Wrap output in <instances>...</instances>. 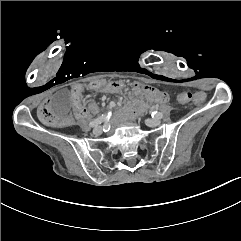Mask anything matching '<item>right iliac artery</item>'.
I'll use <instances>...</instances> for the list:
<instances>
[{
	"label": "right iliac artery",
	"instance_id": "right-iliac-artery-1",
	"mask_svg": "<svg viewBox=\"0 0 241 241\" xmlns=\"http://www.w3.org/2000/svg\"><path fill=\"white\" fill-rule=\"evenodd\" d=\"M110 117H111V112H109L107 114H102L101 116H99L98 118H96L92 122H90V127H95L104 121H108L110 119Z\"/></svg>",
	"mask_w": 241,
	"mask_h": 241
}]
</instances>
